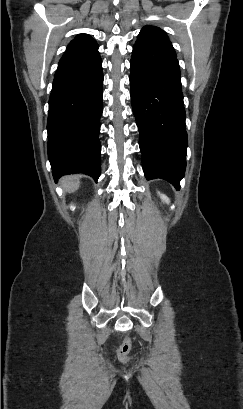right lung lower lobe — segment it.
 I'll list each match as a JSON object with an SVG mask.
<instances>
[{"label": "right lung lower lobe", "instance_id": "obj_1", "mask_svg": "<svg viewBox=\"0 0 243 409\" xmlns=\"http://www.w3.org/2000/svg\"><path fill=\"white\" fill-rule=\"evenodd\" d=\"M102 83L98 45L59 61L47 122L48 159L55 180L79 172L95 181L100 176Z\"/></svg>", "mask_w": 243, "mask_h": 409}]
</instances>
